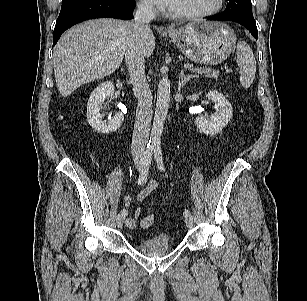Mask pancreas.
I'll use <instances>...</instances> for the list:
<instances>
[{
  "instance_id": "pancreas-1",
  "label": "pancreas",
  "mask_w": 307,
  "mask_h": 301,
  "mask_svg": "<svg viewBox=\"0 0 307 301\" xmlns=\"http://www.w3.org/2000/svg\"><path fill=\"white\" fill-rule=\"evenodd\" d=\"M191 71L197 74H203L207 78H217L219 75V72L217 70L210 69V68H196L195 67V68H192Z\"/></svg>"
}]
</instances>
